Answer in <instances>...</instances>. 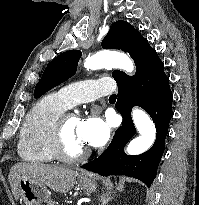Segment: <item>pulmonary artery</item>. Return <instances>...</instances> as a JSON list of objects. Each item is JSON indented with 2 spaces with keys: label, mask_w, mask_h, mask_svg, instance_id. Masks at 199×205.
I'll list each match as a JSON object with an SVG mask.
<instances>
[{
  "label": "pulmonary artery",
  "mask_w": 199,
  "mask_h": 205,
  "mask_svg": "<svg viewBox=\"0 0 199 205\" xmlns=\"http://www.w3.org/2000/svg\"><path fill=\"white\" fill-rule=\"evenodd\" d=\"M113 91L112 82L108 79H88L62 87L59 94L72 107L78 103L94 101Z\"/></svg>",
  "instance_id": "e3ab8cb5"
}]
</instances>
